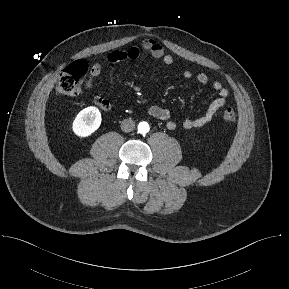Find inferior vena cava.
<instances>
[{
  "instance_id": "inferior-vena-cava-1",
  "label": "inferior vena cava",
  "mask_w": 289,
  "mask_h": 289,
  "mask_svg": "<svg viewBox=\"0 0 289 289\" xmlns=\"http://www.w3.org/2000/svg\"><path fill=\"white\" fill-rule=\"evenodd\" d=\"M135 128V122L132 119H124L121 122V130L124 132H131Z\"/></svg>"
}]
</instances>
